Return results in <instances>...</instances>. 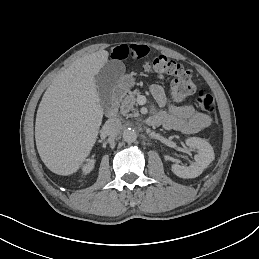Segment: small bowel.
Here are the masks:
<instances>
[{"instance_id": "small-bowel-1", "label": "small bowel", "mask_w": 259, "mask_h": 259, "mask_svg": "<svg viewBox=\"0 0 259 259\" xmlns=\"http://www.w3.org/2000/svg\"><path fill=\"white\" fill-rule=\"evenodd\" d=\"M149 53V48L142 44H120L110 50V57L116 61L127 58L141 59ZM151 93L157 104L165 108L153 115L154 124L166 130H174L185 134H194L212 123L209 115L198 112L192 105H176L167 96L162 86L154 84Z\"/></svg>"}]
</instances>
